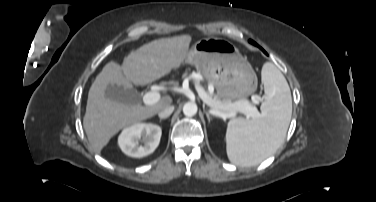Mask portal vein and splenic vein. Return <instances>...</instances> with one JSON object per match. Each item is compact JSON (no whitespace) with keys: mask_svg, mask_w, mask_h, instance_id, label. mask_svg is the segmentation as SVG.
<instances>
[{"mask_svg":"<svg viewBox=\"0 0 376 202\" xmlns=\"http://www.w3.org/2000/svg\"><path fill=\"white\" fill-rule=\"evenodd\" d=\"M199 96L200 97H205L206 98V104L209 106H215L217 107L216 109L213 108L211 109L210 113L212 115H216L217 109H221L224 111H229V116L230 117H235L236 112L239 110V108L244 107L245 111L248 116H254L257 113V109L253 106H251L247 101L241 102V101H236V102H216L212 100L205 92H203L201 89L198 88ZM160 100V94L158 92H147L143 96V102L146 105H152L157 103Z\"/></svg>","mask_w":376,"mask_h":202,"instance_id":"1","label":"portal vein and splenic vein"}]
</instances>
